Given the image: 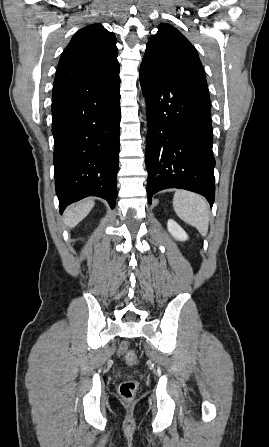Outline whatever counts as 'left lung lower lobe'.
Instances as JSON below:
<instances>
[{"instance_id": "1", "label": "left lung lower lobe", "mask_w": 269, "mask_h": 447, "mask_svg": "<svg viewBox=\"0 0 269 447\" xmlns=\"http://www.w3.org/2000/svg\"><path fill=\"white\" fill-rule=\"evenodd\" d=\"M140 83L149 126L148 202L162 189L181 188L205 196L212 206L215 159L208 91L146 61L140 66Z\"/></svg>"}]
</instances>
